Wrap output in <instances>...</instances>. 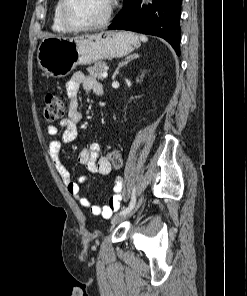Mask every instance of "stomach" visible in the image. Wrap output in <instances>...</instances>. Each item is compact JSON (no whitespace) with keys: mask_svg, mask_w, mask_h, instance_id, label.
<instances>
[{"mask_svg":"<svg viewBox=\"0 0 247 296\" xmlns=\"http://www.w3.org/2000/svg\"><path fill=\"white\" fill-rule=\"evenodd\" d=\"M140 46L137 35L107 31L73 38L46 37L38 47L37 59L45 73L55 78L67 76L77 65L123 57Z\"/></svg>","mask_w":247,"mask_h":296,"instance_id":"obj_1","label":"stomach"}]
</instances>
